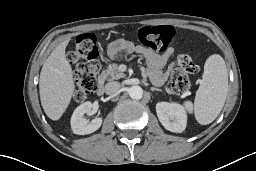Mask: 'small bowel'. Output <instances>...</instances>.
I'll return each mask as SVG.
<instances>
[{
  "label": "small bowel",
  "instance_id": "obj_1",
  "mask_svg": "<svg viewBox=\"0 0 256 171\" xmlns=\"http://www.w3.org/2000/svg\"><path fill=\"white\" fill-rule=\"evenodd\" d=\"M125 53H139L142 54L150 68L152 74V81L155 85L161 86L165 83L167 79V72L163 71L167 60L172 55L173 51L168 50L164 54H157L153 51L135 45H127L125 47Z\"/></svg>",
  "mask_w": 256,
  "mask_h": 171
}]
</instances>
